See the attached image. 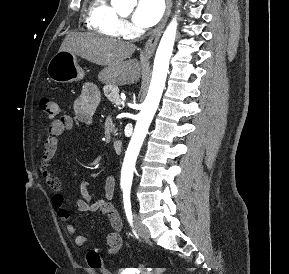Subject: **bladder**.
Segmentation results:
<instances>
[{
	"label": "bladder",
	"instance_id": "bladder-1",
	"mask_svg": "<svg viewBox=\"0 0 289 274\" xmlns=\"http://www.w3.org/2000/svg\"><path fill=\"white\" fill-rule=\"evenodd\" d=\"M122 274H136V273L126 272V273H122Z\"/></svg>",
	"mask_w": 289,
	"mask_h": 274
}]
</instances>
